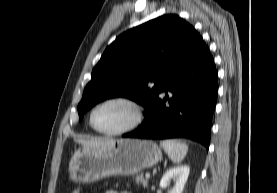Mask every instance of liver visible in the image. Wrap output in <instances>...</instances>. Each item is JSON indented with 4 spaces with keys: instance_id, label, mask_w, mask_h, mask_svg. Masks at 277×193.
Segmentation results:
<instances>
[{
    "instance_id": "1",
    "label": "liver",
    "mask_w": 277,
    "mask_h": 193,
    "mask_svg": "<svg viewBox=\"0 0 277 193\" xmlns=\"http://www.w3.org/2000/svg\"><path fill=\"white\" fill-rule=\"evenodd\" d=\"M75 140L82 146L91 147V148L104 147V146L110 144L111 142H113V140L101 139V138H92V139H87V140L77 138Z\"/></svg>"
}]
</instances>
